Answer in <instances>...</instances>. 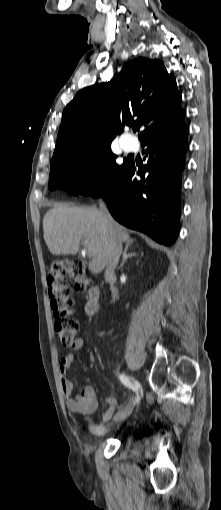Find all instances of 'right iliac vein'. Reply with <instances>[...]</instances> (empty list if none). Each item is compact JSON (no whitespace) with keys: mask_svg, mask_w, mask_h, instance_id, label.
<instances>
[{"mask_svg":"<svg viewBox=\"0 0 221 510\" xmlns=\"http://www.w3.org/2000/svg\"><path fill=\"white\" fill-rule=\"evenodd\" d=\"M131 412H132V407H131V403H129L124 409L119 411L114 416V421L115 422H120V421L125 420L131 414Z\"/></svg>","mask_w":221,"mask_h":510,"instance_id":"1","label":"right iliac vein"}]
</instances>
